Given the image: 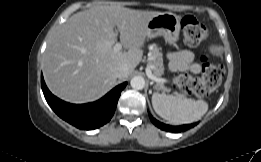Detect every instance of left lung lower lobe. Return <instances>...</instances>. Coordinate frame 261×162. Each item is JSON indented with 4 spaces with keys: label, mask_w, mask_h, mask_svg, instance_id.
<instances>
[{
    "label": "left lung lower lobe",
    "mask_w": 261,
    "mask_h": 162,
    "mask_svg": "<svg viewBox=\"0 0 261 162\" xmlns=\"http://www.w3.org/2000/svg\"><path fill=\"white\" fill-rule=\"evenodd\" d=\"M149 117L154 125H156L160 129H162L164 131H168V132L186 131L187 129L192 128L197 124V123H194V124H187V125H182V126H171V125H167V124L159 122L158 120L153 118L150 113H149Z\"/></svg>",
    "instance_id": "obj_1"
}]
</instances>
